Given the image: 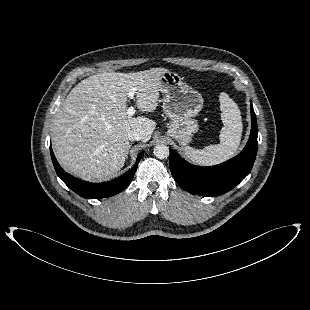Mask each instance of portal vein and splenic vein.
I'll use <instances>...</instances> for the list:
<instances>
[{
    "label": "portal vein and splenic vein",
    "instance_id": "obj_1",
    "mask_svg": "<svg viewBox=\"0 0 310 310\" xmlns=\"http://www.w3.org/2000/svg\"><path fill=\"white\" fill-rule=\"evenodd\" d=\"M134 94H135V88H132V89L128 92V97H129L130 99H133V98H134ZM127 114H128L129 116L134 115V114H135V108H134L133 106L129 107V108L127 109Z\"/></svg>",
    "mask_w": 310,
    "mask_h": 310
}]
</instances>
